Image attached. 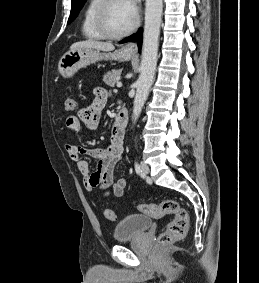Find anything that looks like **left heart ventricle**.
I'll list each match as a JSON object with an SVG mask.
<instances>
[{
	"label": "left heart ventricle",
	"mask_w": 259,
	"mask_h": 283,
	"mask_svg": "<svg viewBox=\"0 0 259 283\" xmlns=\"http://www.w3.org/2000/svg\"><path fill=\"white\" fill-rule=\"evenodd\" d=\"M107 25L112 32L119 33L133 23L134 12L125 0H114L107 11Z\"/></svg>",
	"instance_id": "1"
}]
</instances>
